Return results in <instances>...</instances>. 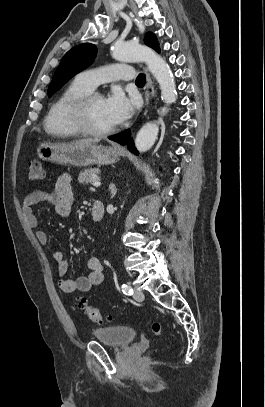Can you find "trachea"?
<instances>
[{
	"mask_svg": "<svg viewBox=\"0 0 265 407\" xmlns=\"http://www.w3.org/2000/svg\"><path fill=\"white\" fill-rule=\"evenodd\" d=\"M145 75L144 74H139L138 77L136 78V84L137 85H144L145 84Z\"/></svg>",
	"mask_w": 265,
	"mask_h": 407,
	"instance_id": "3493384b",
	"label": "trachea"
}]
</instances>
